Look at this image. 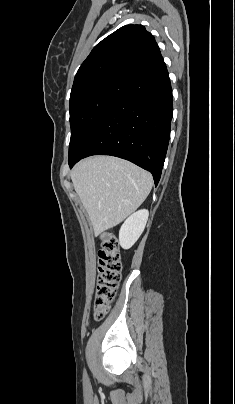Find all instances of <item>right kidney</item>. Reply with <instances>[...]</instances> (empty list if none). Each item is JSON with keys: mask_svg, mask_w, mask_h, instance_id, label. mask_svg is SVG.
<instances>
[{"mask_svg": "<svg viewBox=\"0 0 235 404\" xmlns=\"http://www.w3.org/2000/svg\"><path fill=\"white\" fill-rule=\"evenodd\" d=\"M148 210H139L132 214L121 226L119 243L123 249L131 248L138 240L148 220Z\"/></svg>", "mask_w": 235, "mask_h": 404, "instance_id": "right-kidney-1", "label": "right kidney"}]
</instances>
